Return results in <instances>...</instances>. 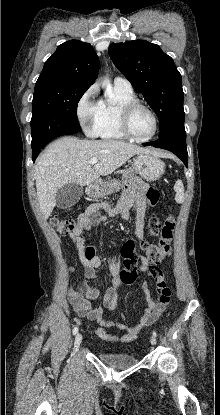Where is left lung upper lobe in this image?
I'll return each mask as SVG.
<instances>
[{"label": "left lung upper lobe", "mask_w": 220, "mask_h": 415, "mask_svg": "<svg viewBox=\"0 0 220 415\" xmlns=\"http://www.w3.org/2000/svg\"><path fill=\"white\" fill-rule=\"evenodd\" d=\"M109 55L157 114L159 137L184 125L181 75L170 56L158 45L144 40L111 44Z\"/></svg>", "instance_id": "obj_1"}]
</instances>
